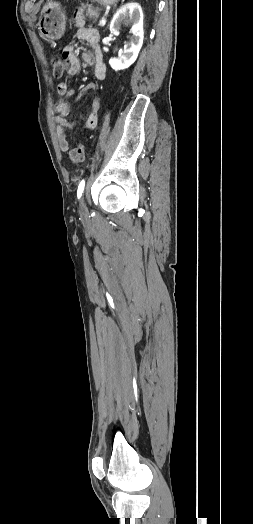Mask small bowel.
Segmentation results:
<instances>
[{"label": "small bowel", "mask_w": 253, "mask_h": 524, "mask_svg": "<svg viewBox=\"0 0 253 524\" xmlns=\"http://www.w3.org/2000/svg\"><path fill=\"white\" fill-rule=\"evenodd\" d=\"M76 26L78 28L77 38L87 42L91 47V52L82 53V59L86 64L93 67L95 78L99 81H102L106 78L107 67L99 46V32L94 28L85 26L81 20L76 21ZM61 58L66 65L64 68L66 74L74 75L78 73L81 68V63L71 46L65 48ZM67 84L68 79L66 77H61L57 87L58 92L60 94L66 95L67 97H83L88 95L94 89L93 84H88L80 91L76 92L75 90L68 89ZM99 108V99L97 97H93L90 102V112L86 119L84 129H95L97 127V112ZM56 111V132L58 136L59 147L63 152H66L69 149V144L64 130L73 129L75 127V121L68 118L70 106L67 100L60 99L56 104Z\"/></svg>", "instance_id": "1"}]
</instances>
